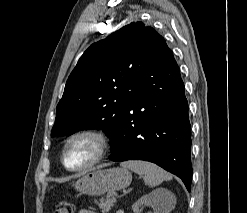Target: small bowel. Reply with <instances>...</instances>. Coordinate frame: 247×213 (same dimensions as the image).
I'll use <instances>...</instances> for the list:
<instances>
[{
    "instance_id": "small-bowel-1",
    "label": "small bowel",
    "mask_w": 247,
    "mask_h": 213,
    "mask_svg": "<svg viewBox=\"0 0 247 213\" xmlns=\"http://www.w3.org/2000/svg\"><path fill=\"white\" fill-rule=\"evenodd\" d=\"M78 213H96V212L87 209H82Z\"/></svg>"
}]
</instances>
